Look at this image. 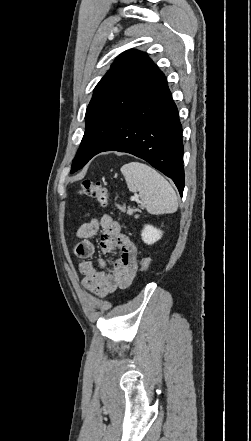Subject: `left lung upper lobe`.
<instances>
[{"mask_svg": "<svg viewBox=\"0 0 251 441\" xmlns=\"http://www.w3.org/2000/svg\"><path fill=\"white\" fill-rule=\"evenodd\" d=\"M163 75L146 53L137 50L122 53L94 89L86 110L85 133L95 121L103 117L129 113L136 101ZM85 159L83 136L71 173L81 168Z\"/></svg>", "mask_w": 251, "mask_h": 441, "instance_id": "5c2ea615", "label": "left lung upper lobe"}]
</instances>
